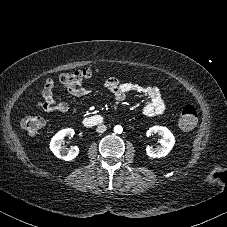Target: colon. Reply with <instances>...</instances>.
<instances>
[{"label":"colon","mask_w":227,"mask_h":227,"mask_svg":"<svg viewBox=\"0 0 227 227\" xmlns=\"http://www.w3.org/2000/svg\"><path fill=\"white\" fill-rule=\"evenodd\" d=\"M94 73L95 71L90 68L64 73L60 76V84L68 91L78 89L82 87L86 81H89L94 76ZM196 123V108L193 105H186L178 118V127L182 131H187L192 129ZM21 125L28 134L37 135L42 131L45 121L39 116H27L22 119Z\"/></svg>","instance_id":"colon-1"}]
</instances>
